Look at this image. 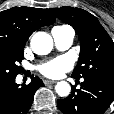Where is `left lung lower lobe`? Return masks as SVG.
<instances>
[{
    "label": "left lung lower lobe",
    "instance_id": "0a47b994",
    "mask_svg": "<svg viewBox=\"0 0 114 114\" xmlns=\"http://www.w3.org/2000/svg\"><path fill=\"white\" fill-rule=\"evenodd\" d=\"M82 78L80 89L73 87L71 95L57 100L59 109L64 114H103L114 100V80L90 76Z\"/></svg>",
    "mask_w": 114,
    "mask_h": 114
}]
</instances>
